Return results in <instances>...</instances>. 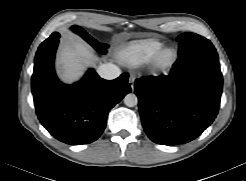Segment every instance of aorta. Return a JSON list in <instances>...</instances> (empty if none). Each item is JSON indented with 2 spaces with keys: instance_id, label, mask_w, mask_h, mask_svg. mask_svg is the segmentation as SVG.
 <instances>
[{
  "instance_id": "obj_1",
  "label": "aorta",
  "mask_w": 246,
  "mask_h": 181,
  "mask_svg": "<svg viewBox=\"0 0 246 181\" xmlns=\"http://www.w3.org/2000/svg\"><path fill=\"white\" fill-rule=\"evenodd\" d=\"M124 104L127 107H134L138 104V98L134 93H129L124 97Z\"/></svg>"
}]
</instances>
